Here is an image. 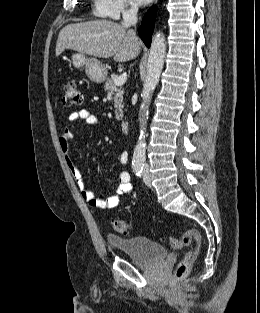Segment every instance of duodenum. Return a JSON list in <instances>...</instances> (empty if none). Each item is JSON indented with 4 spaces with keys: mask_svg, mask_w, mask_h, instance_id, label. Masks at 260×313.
<instances>
[{
    "mask_svg": "<svg viewBox=\"0 0 260 313\" xmlns=\"http://www.w3.org/2000/svg\"><path fill=\"white\" fill-rule=\"evenodd\" d=\"M122 130L124 133H129V123L127 121L122 122Z\"/></svg>",
    "mask_w": 260,
    "mask_h": 313,
    "instance_id": "410a0bca",
    "label": "duodenum"
}]
</instances>
